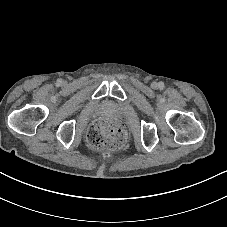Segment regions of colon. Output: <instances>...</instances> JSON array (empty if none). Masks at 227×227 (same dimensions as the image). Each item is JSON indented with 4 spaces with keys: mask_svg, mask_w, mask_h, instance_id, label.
Listing matches in <instances>:
<instances>
[{
    "mask_svg": "<svg viewBox=\"0 0 227 227\" xmlns=\"http://www.w3.org/2000/svg\"><path fill=\"white\" fill-rule=\"evenodd\" d=\"M125 139V130L117 122L111 120L98 121L87 133L88 144L97 150L119 149Z\"/></svg>",
    "mask_w": 227,
    "mask_h": 227,
    "instance_id": "colon-1",
    "label": "colon"
}]
</instances>
